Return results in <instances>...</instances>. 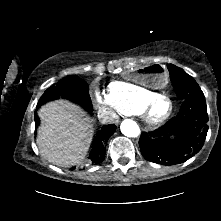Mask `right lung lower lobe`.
Segmentation results:
<instances>
[{"label": "right lung lower lobe", "mask_w": 221, "mask_h": 221, "mask_svg": "<svg viewBox=\"0 0 221 221\" xmlns=\"http://www.w3.org/2000/svg\"><path fill=\"white\" fill-rule=\"evenodd\" d=\"M91 107L92 105L90 104V106L86 109L88 111H91ZM34 117H35V125L37 127L39 125V119H38L36 112L34 114ZM115 130H116L115 125H105L97 133V136L95 138V142L93 145V150L89 156V163L97 165L104 160L107 142L110 136L115 132Z\"/></svg>", "instance_id": "1"}]
</instances>
